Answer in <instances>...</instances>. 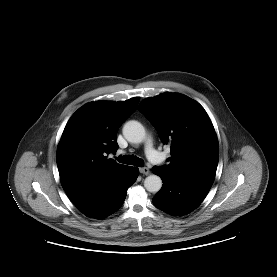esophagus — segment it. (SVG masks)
<instances>
[{
    "label": "esophagus",
    "instance_id": "obj_1",
    "mask_svg": "<svg viewBox=\"0 0 277 277\" xmlns=\"http://www.w3.org/2000/svg\"><path fill=\"white\" fill-rule=\"evenodd\" d=\"M140 173L148 175L150 173V170L148 167H141L140 169Z\"/></svg>",
    "mask_w": 277,
    "mask_h": 277
}]
</instances>
